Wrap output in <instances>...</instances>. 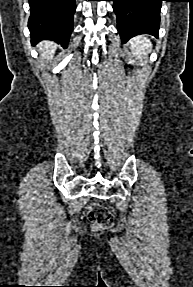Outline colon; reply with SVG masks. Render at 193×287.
I'll list each match as a JSON object with an SVG mask.
<instances>
[{
    "mask_svg": "<svg viewBox=\"0 0 193 287\" xmlns=\"http://www.w3.org/2000/svg\"><path fill=\"white\" fill-rule=\"evenodd\" d=\"M88 219L95 229H107L114 220L111 211L100 204L92 203L88 207Z\"/></svg>",
    "mask_w": 193,
    "mask_h": 287,
    "instance_id": "obj_1",
    "label": "colon"
}]
</instances>
